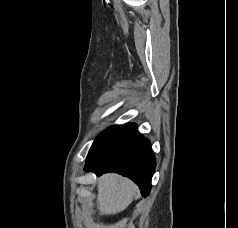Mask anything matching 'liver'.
Instances as JSON below:
<instances>
[{
    "instance_id": "1",
    "label": "liver",
    "mask_w": 238,
    "mask_h": 228,
    "mask_svg": "<svg viewBox=\"0 0 238 228\" xmlns=\"http://www.w3.org/2000/svg\"><path fill=\"white\" fill-rule=\"evenodd\" d=\"M97 190L96 202L100 215H115L131 204L138 187L127 178L109 173L99 178Z\"/></svg>"
}]
</instances>
